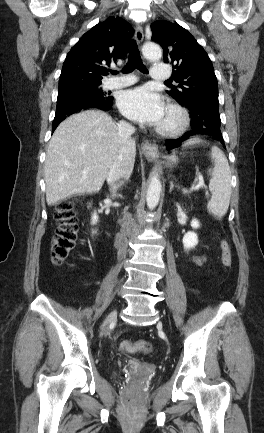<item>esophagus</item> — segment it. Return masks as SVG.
Segmentation results:
<instances>
[{
    "label": "esophagus",
    "mask_w": 264,
    "mask_h": 433,
    "mask_svg": "<svg viewBox=\"0 0 264 433\" xmlns=\"http://www.w3.org/2000/svg\"><path fill=\"white\" fill-rule=\"evenodd\" d=\"M135 39H136L138 44H141L143 39H144L143 29L139 24L136 25V28H135ZM141 149H142L143 154L148 159L153 160V159L158 158V156H159L158 147L155 143H151L149 141H143L141 144Z\"/></svg>",
    "instance_id": "1"
}]
</instances>
